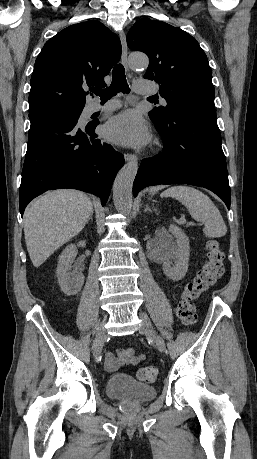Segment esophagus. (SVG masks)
Segmentation results:
<instances>
[{
    "instance_id": "obj_1",
    "label": "esophagus",
    "mask_w": 257,
    "mask_h": 459,
    "mask_svg": "<svg viewBox=\"0 0 257 459\" xmlns=\"http://www.w3.org/2000/svg\"><path fill=\"white\" fill-rule=\"evenodd\" d=\"M119 38L121 41V46H122V63L125 66V68L128 70V62H127V57H128V50H127V43H126V35L123 30L119 31ZM125 161H136L137 157L134 154L126 153L124 154Z\"/></svg>"
}]
</instances>
